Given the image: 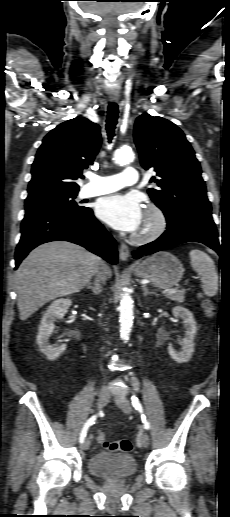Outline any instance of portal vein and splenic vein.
Wrapping results in <instances>:
<instances>
[{"instance_id": "1", "label": "portal vein and splenic vein", "mask_w": 230, "mask_h": 517, "mask_svg": "<svg viewBox=\"0 0 230 517\" xmlns=\"http://www.w3.org/2000/svg\"><path fill=\"white\" fill-rule=\"evenodd\" d=\"M176 291H177V289L173 288V289L166 291V294L171 295L172 293H175Z\"/></svg>"}]
</instances>
